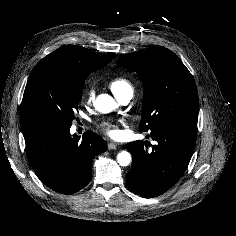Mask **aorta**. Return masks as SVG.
Here are the masks:
<instances>
[{
  "label": "aorta",
  "mask_w": 236,
  "mask_h": 236,
  "mask_svg": "<svg viewBox=\"0 0 236 236\" xmlns=\"http://www.w3.org/2000/svg\"><path fill=\"white\" fill-rule=\"evenodd\" d=\"M94 106L101 113H109L116 109L118 104L110 95L101 94L97 97ZM117 160L119 165L128 166L131 162V155L127 151H122L118 153Z\"/></svg>",
  "instance_id": "1"
}]
</instances>
